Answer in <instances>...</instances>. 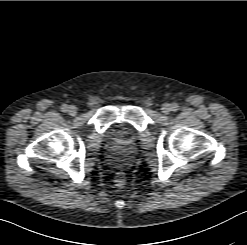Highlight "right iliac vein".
Here are the masks:
<instances>
[{
  "instance_id": "obj_1",
  "label": "right iliac vein",
  "mask_w": 247,
  "mask_h": 245,
  "mask_svg": "<svg viewBox=\"0 0 247 245\" xmlns=\"http://www.w3.org/2000/svg\"><path fill=\"white\" fill-rule=\"evenodd\" d=\"M67 111L71 116H75L77 114L78 109L75 105H70Z\"/></svg>"
}]
</instances>
